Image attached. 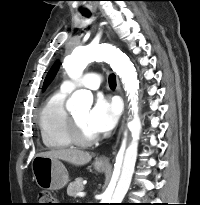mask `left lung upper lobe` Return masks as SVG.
<instances>
[{"mask_svg": "<svg viewBox=\"0 0 200 205\" xmlns=\"http://www.w3.org/2000/svg\"><path fill=\"white\" fill-rule=\"evenodd\" d=\"M59 69V62L57 61L53 67L51 68V70L48 72L44 84H43V89L46 88L48 86V84L52 81V79L55 77L57 71Z\"/></svg>", "mask_w": 200, "mask_h": 205, "instance_id": "5c2ea615", "label": "left lung upper lobe"}]
</instances>
